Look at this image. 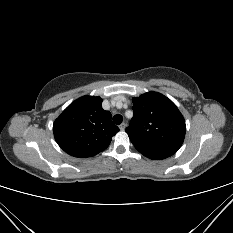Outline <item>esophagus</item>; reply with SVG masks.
I'll return each instance as SVG.
<instances>
[{
	"mask_svg": "<svg viewBox=\"0 0 233 233\" xmlns=\"http://www.w3.org/2000/svg\"><path fill=\"white\" fill-rule=\"evenodd\" d=\"M125 128H126V124L124 122L119 125V129L121 131L125 130Z\"/></svg>",
	"mask_w": 233,
	"mask_h": 233,
	"instance_id": "esophagus-1",
	"label": "esophagus"
}]
</instances>
